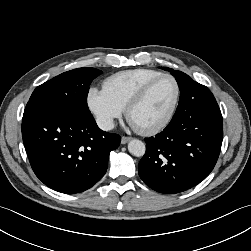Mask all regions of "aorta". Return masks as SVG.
Instances as JSON below:
<instances>
[{"instance_id": "762f6f07", "label": "aorta", "mask_w": 251, "mask_h": 251, "mask_svg": "<svg viewBox=\"0 0 251 251\" xmlns=\"http://www.w3.org/2000/svg\"><path fill=\"white\" fill-rule=\"evenodd\" d=\"M128 151L136 157H142L145 154V144L141 140L133 139L128 143Z\"/></svg>"}]
</instances>
